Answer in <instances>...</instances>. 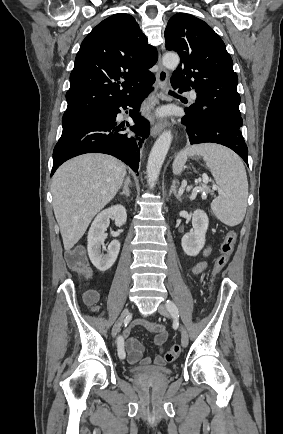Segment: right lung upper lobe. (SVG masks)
<instances>
[{
  "label": "right lung upper lobe",
  "mask_w": 283,
  "mask_h": 434,
  "mask_svg": "<svg viewBox=\"0 0 283 434\" xmlns=\"http://www.w3.org/2000/svg\"><path fill=\"white\" fill-rule=\"evenodd\" d=\"M157 59L134 17L118 13L103 20L76 55L63 120L94 116L123 101L153 76L148 69Z\"/></svg>",
  "instance_id": "obj_1"
}]
</instances>
